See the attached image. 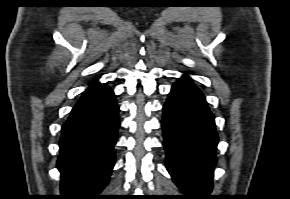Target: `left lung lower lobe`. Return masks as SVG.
<instances>
[{"mask_svg": "<svg viewBox=\"0 0 290 199\" xmlns=\"http://www.w3.org/2000/svg\"><path fill=\"white\" fill-rule=\"evenodd\" d=\"M166 167L188 199L212 190L218 135L205 96L186 75L171 89L163 107Z\"/></svg>", "mask_w": 290, "mask_h": 199, "instance_id": "1", "label": "left lung lower lobe"}]
</instances>
